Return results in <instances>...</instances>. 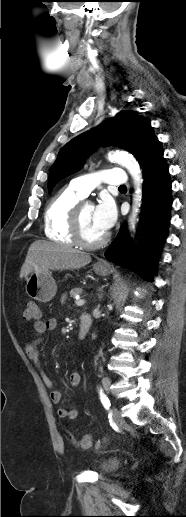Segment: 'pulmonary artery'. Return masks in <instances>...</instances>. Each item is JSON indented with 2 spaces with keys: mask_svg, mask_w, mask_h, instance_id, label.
I'll use <instances>...</instances> for the list:
<instances>
[{
  "mask_svg": "<svg viewBox=\"0 0 186 517\" xmlns=\"http://www.w3.org/2000/svg\"><path fill=\"white\" fill-rule=\"evenodd\" d=\"M127 181L123 169L109 168L100 173H92L77 177L70 182V186L81 196L87 197L89 193L100 183L108 185H124Z\"/></svg>",
  "mask_w": 186,
  "mask_h": 517,
  "instance_id": "e3ab8cb5",
  "label": "pulmonary artery"
}]
</instances>
